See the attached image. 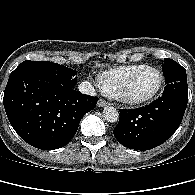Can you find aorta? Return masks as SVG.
Masks as SVG:
<instances>
[{"label":"aorta","instance_id":"762f6f07","mask_svg":"<svg viewBox=\"0 0 195 195\" xmlns=\"http://www.w3.org/2000/svg\"><path fill=\"white\" fill-rule=\"evenodd\" d=\"M103 117L110 123H115L119 120V112L113 106H107L103 110Z\"/></svg>","mask_w":195,"mask_h":195}]
</instances>
